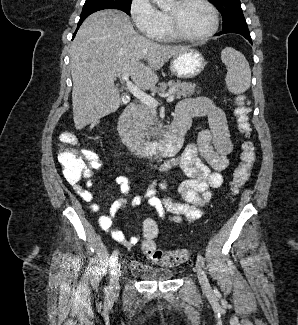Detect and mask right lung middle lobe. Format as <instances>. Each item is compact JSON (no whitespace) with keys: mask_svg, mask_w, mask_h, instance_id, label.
Segmentation results:
<instances>
[{"mask_svg":"<svg viewBox=\"0 0 298 325\" xmlns=\"http://www.w3.org/2000/svg\"><path fill=\"white\" fill-rule=\"evenodd\" d=\"M132 0H86L80 20L86 19L90 14L103 9H119L130 15Z\"/></svg>","mask_w":298,"mask_h":325,"instance_id":"right-lung-middle-lobe-1","label":"right lung middle lobe"}]
</instances>
